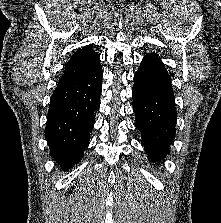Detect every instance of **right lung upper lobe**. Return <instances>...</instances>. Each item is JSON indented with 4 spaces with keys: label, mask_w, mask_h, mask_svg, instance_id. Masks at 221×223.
Returning a JSON list of instances; mask_svg holds the SVG:
<instances>
[{
    "label": "right lung upper lobe",
    "mask_w": 221,
    "mask_h": 223,
    "mask_svg": "<svg viewBox=\"0 0 221 223\" xmlns=\"http://www.w3.org/2000/svg\"><path fill=\"white\" fill-rule=\"evenodd\" d=\"M100 65L99 55L89 46L78 49L65 67L58 86L70 83L90 73Z\"/></svg>",
    "instance_id": "cb5924a9"
}]
</instances>
